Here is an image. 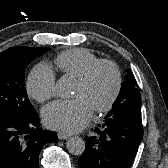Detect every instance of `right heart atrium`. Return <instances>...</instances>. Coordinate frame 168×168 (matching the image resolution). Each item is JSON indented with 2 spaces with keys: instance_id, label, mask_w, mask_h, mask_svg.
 <instances>
[{
  "instance_id": "obj_1",
  "label": "right heart atrium",
  "mask_w": 168,
  "mask_h": 168,
  "mask_svg": "<svg viewBox=\"0 0 168 168\" xmlns=\"http://www.w3.org/2000/svg\"><path fill=\"white\" fill-rule=\"evenodd\" d=\"M28 95L39 103L45 102L56 94V77L46 65L35 66L26 81Z\"/></svg>"
}]
</instances>
